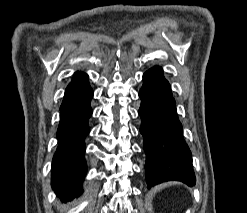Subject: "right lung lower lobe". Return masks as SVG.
Wrapping results in <instances>:
<instances>
[{
  "mask_svg": "<svg viewBox=\"0 0 247 213\" xmlns=\"http://www.w3.org/2000/svg\"><path fill=\"white\" fill-rule=\"evenodd\" d=\"M92 97L93 91L88 83V76L76 72L65 90L60 107L61 116L57 131L59 146L52 162V187L64 201L80 195L86 175L84 141L89 133L88 119L92 114Z\"/></svg>",
  "mask_w": 247,
  "mask_h": 213,
  "instance_id": "obj_1",
  "label": "right lung lower lobe"
}]
</instances>
